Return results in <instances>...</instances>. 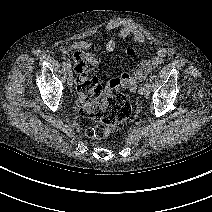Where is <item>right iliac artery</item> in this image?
<instances>
[{"instance_id":"right-iliac-artery-1","label":"right iliac artery","mask_w":212,"mask_h":212,"mask_svg":"<svg viewBox=\"0 0 212 212\" xmlns=\"http://www.w3.org/2000/svg\"><path fill=\"white\" fill-rule=\"evenodd\" d=\"M63 66L67 71H71V65L69 63L64 62Z\"/></svg>"}]
</instances>
